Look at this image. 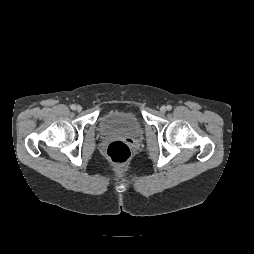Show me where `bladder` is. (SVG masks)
Listing matches in <instances>:
<instances>
[{
  "label": "bladder",
  "mask_w": 254,
  "mask_h": 254,
  "mask_svg": "<svg viewBox=\"0 0 254 254\" xmlns=\"http://www.w3.org/2000/svg\"><path fill=\"white\" fill-rule=\"evenodd\" d=\"M99 129L104 136L138 138L142 135V123L136 113L127 110H111L99 119Z\"/></svg>",
  "instance_id": "obj_1"
}]
</instances>
